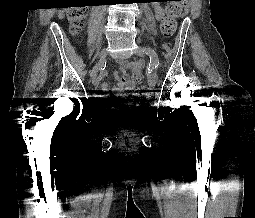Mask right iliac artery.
I'll return each instance as SVG.
<instances>
[{
	"label": "right iliac artery",
	"mask_w": 255,
	"mask_h": 218,
	"mask_svg": "<svg viewBox=\"0 0 255 218\" xmlns=\"http://www.w3.org/2000/svg\"><path fill=\"white\" fill-rule=\"evenodd\" d=\"M93 71H94V69L91 71V75H92Z\"/></svg>",
	"instance_id": "obj_1"
}]
</instances>
